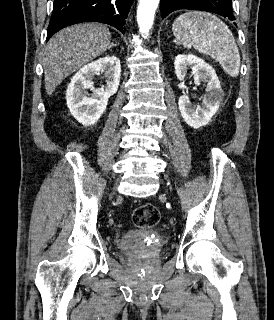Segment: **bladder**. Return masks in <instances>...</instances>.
Listing matches in <instances>:
<instances>
[{
    "instance_id": "obj_1",
    "label": "bladder",
    "mask_w": 274,
    "mask_h": 320,
    "mask_svg": "<svg viewBox=\"0 0 274 320\" xmlns=\"http://www.w3.org/2000/svg\"><path fill=\"white\" fill-rule=\"evenodd\" d=\"M162 235L149 228L133 229L124 233L118 247L127 256H156L161 252Z\"/></svg>"
}]
</instances>
